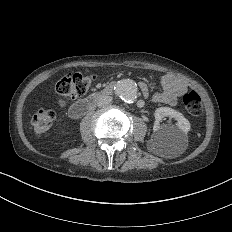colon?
Returning <instances> with one entry per match:
<instances>
[{"label":"colon","instance_id":"5ec220e1","mask_svg":"<svg viewBox=\"0 0 232 232\" xmlns=\"http://www.w3.org/2000/svg\"><path fill=\"white\" fill-rule=\"evenodd\" d=\"M63 80H59L55 84V89L59 93H78L84 94L88 89H95V84H88V82H94V77H86L85 74H81L78 70H73L65 77H61ZM202 98L200 95L193 92L183 94V102L180 103L181 107H184V111L187 112V117H200L201 114ZM52 117L51 109L39 108L37 116H31L30 120L33 121L34 130L33 133L37 134V137H42L44 131H52Z\"/></svg>","mask_w":232,"mask_h":232}]
</instances>
